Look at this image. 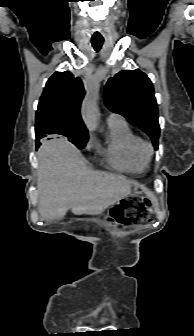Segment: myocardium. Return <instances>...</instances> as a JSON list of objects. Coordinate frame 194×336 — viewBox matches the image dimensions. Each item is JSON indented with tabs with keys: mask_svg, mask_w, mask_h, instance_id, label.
Instances as JSON below:
<instances>
[{
	"mask_svg": "<svg viewBox=\"0 0 194 336\" xmlns=\"http://www.w3.org/2000/svg\"><path fill=\"white\" fill-rule=\"evenodd\" d=\"M141 151L143 155L148 159L154 154V147L149 141H141Z\"/></svg>",
	"mask_w": 194,
	"mask_h": 336,
	"instance_id": "f54148a6",
	"label": "myocardium"
}]
</instances>
